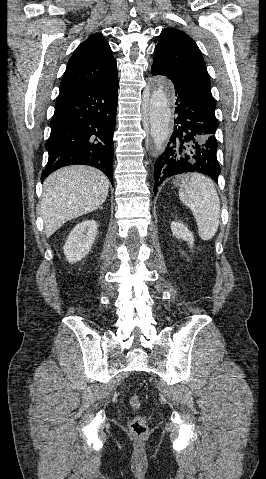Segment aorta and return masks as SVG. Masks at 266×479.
I'll return each instance as SVG.
<instances>
[{
  "label": "aorta",
  "mask_w": 266,
  "mask_h": 479,
  "mask_svg": "<svg viewBox=\"0 0 266 479\" xmlns=\"http://www.w3.org/2000/svg\"><path fill=\"white\" fill-rule=\"evenodd\" d=\"M154 88L149 100H145L144 114L150 123V132L157 150H161L169 137L171 109L165 93L166 81L163 78L155 79Z\"/></svg>",
  "instance_id": "aorta-1"
}]
</instances>
